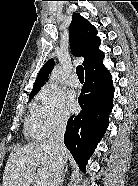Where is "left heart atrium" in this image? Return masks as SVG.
<instances>
[{"label":"left heart atrium","instance_id":"1","mask_svg":"<svg viewBox=\"0 0 138 186\" xmlns=\"http://www.w3.org/2000/svg\"><path fill=\"white\" fill-rule=\"evenodd\" d=\"M76 109V103L72 94L66 96V111L73 112Z\"/></svg>","mask_w":138,"mask_h":186}]
</instances>
